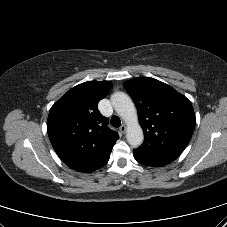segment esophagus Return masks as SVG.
Returning <instances> with one entry per match:
<instances>
[{
  "instance_id": "obj_1",
  "label": "esophagus",
  "mask_w": 227,
  "mask_h": 227,
  "mask_svg": "<svg viewBox=\"0 0 227 227\" xmlns=\"http://www.w3.org/2000/svg\"><path fill=\"white\" fill-rule=\"evenodd\" d=\"M119 129H120L121 133L124 134L126 132L127 126L125 124H123Z\"/></svg>"
}]
</instances>
